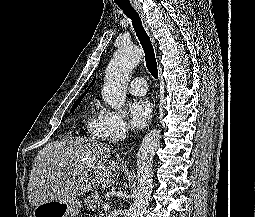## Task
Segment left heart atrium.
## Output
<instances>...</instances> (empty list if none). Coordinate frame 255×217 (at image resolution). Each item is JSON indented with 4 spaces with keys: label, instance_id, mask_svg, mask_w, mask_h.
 <instances>
[{
    "label": "left heart atrium",
    "instance_id": "1",
    "mask_svg": "<svg viewBox=\"0 0 255 217\" xmlns=\"http://www.w3.org/2000/svg\"><path fill=\"white\" fill-rule=\"evenodd\" d=\"M152 106L146 99H134L128 106V117L135 130L143 128L151 118Z\"/></svg>",
    "mask_w": 255,
    "mask_h": 217
}]
</instances>
